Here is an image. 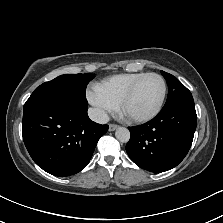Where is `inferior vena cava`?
Segmentation results:
<instances>
[{
  "mask_svg": "<svg viewBox=\"0 0 223 223\" xmlns=\"http://www.w3.org/2000/svg\"><path fill=\"white\" fill-rule=\"evenodd\" d=\"M89 118L99 124H105L109 121V116L102 110L90 107L88 109Z\"/></svg>",
  "mask_w": 223,
  "mask_h": 223,
  "instance_id": "inferior-vena-cava-1",
  "label": "inferior vena cava"
}]
</instances>
